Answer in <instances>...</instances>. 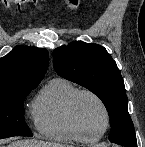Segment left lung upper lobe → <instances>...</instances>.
I'll use <instances>...</instances> for the list:
<instances>
[{"label":"left lung upper lobe","instance_id":"obj_1","mask_svg":"<svg viewBox=\"0 0 145 147\" xmlns=\"http://www.w3.org/2000/svg\"><path fill=\"white\" fill-rule=\"evenodd\" d=\"M53 58L58 75L87 88L102 100L112 127L109 140L124 147H137L123 78L106 49L98 44L73 42L56 48Z\"/></svg>","mask_w":145,"mask_h":147}]
</instances>
